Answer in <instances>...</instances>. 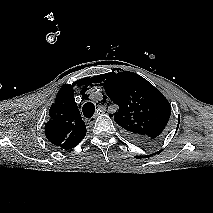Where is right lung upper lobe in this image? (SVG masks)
Instances as JSON below:
<instances>
[{"label":"right lung upper lobe","mask_w":213,"mask_h":213,"mask_svg":"<svg viewBox=\"0 0 213 213\" xmlns=\"http://www.w3.org/2000/svg\"><path fill=\"white\" fill-rule=\"evenodd\" d=\"M49 115L45 135L56 147L72 149L85 137L86 125L77 108L71 85H65L58 91Z\"/></svg>","instance_id":"obj_1"}]
</instances>
